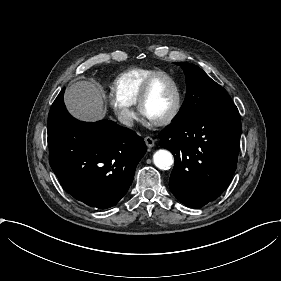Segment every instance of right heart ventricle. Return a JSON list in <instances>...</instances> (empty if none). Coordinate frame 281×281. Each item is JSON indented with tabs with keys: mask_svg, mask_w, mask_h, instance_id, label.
<instances>
[{
	"mask_svg": "<svg viewBox=\"0 0 281 281\" xmlns=\"http://www.w3.org/2000/svg\"><path fill=\"white\" fill-rule=\"evenodd\" d=\"M163 73L167 72L157 68H136L123 72L113 82L115 95L128 105H134L148 79Z\"/></svg>",
	"mask_w": 281,
	"mask_h": 281,
	"instance_id": "e07e8e85",
	"label": "right heart ventricle"
}]
</instances>
